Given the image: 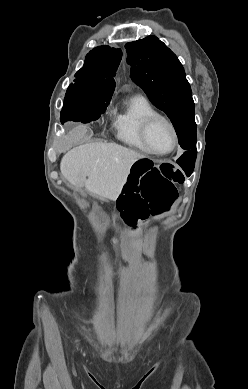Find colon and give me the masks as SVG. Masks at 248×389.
<instances>
[{
  "label": "colon",
  "mask_w": 248,
  "mask_h": 389,
  "mask_svg": "<svg viewBox=\"0 0 248 389\" xmlns=\"http://www.w3.org/2000/svg\"><path fill=\"white\" fill-rule=\"evenodd\" d=\"M184 180L183 173L172 161H152L139 157L126 181L117 205L122 218L145 219L149 213L156 216L167 211L178 196L177 185Z\"/></svg>",
  "instance_id": "5ec220e1"
}]
</instances>
